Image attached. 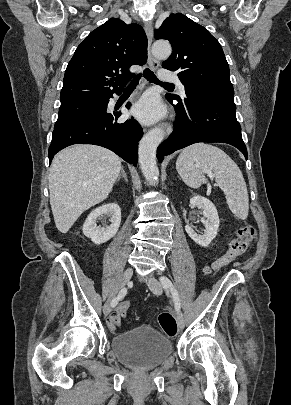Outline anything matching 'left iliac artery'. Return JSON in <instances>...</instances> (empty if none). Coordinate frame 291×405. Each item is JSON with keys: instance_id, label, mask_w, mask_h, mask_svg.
Segmentation results:
<instances>
[{"instance_id": "44dca946", "label": "left iliac artery", "mask_w": 291, "mask_h": 405, "mask_svg": "<svg viewBox=\"0 0 291 405\" xmlns=\"http://www.w3.org/2000/svg\"><path fill=\"white\" fill-rule=\"evenodd\" d=\"M160 281H161V283H162V285H163V287L165 289L170 290V292L172 294V297H173V300H174V303H175V309H176L177 312H179L180 311V300H179V296H178V293H177L174 285L165 276L160 277Z\"/></svg>"}]
</instances>
